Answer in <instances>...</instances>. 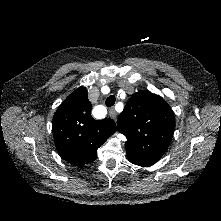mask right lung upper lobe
Listing matches in <instances>:
<instances>
[{
	"label": "right lung upper lobe",
	"instance_id": "cb5924a9",
	"mask_svg": "<svg viewBox=\"0 0 221 221\" xmlns=\"http://www.w3.org/2000/svg\"><path fill=\"white\" fill-rule=\"evenodd\" d=\"M87 89L79 87L59 106L53 117L52 132L61 158L74 166L96 159L97 149L116 132L110 119L95 120Z\"/></svg>",
	"mask_w": 221,
	"mask_h": 221
}]
</instances>
